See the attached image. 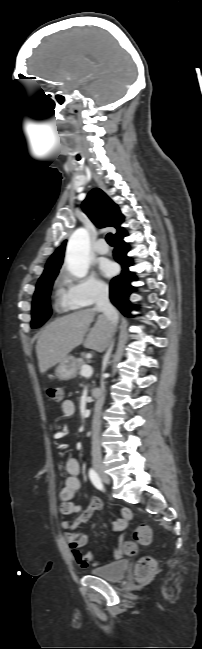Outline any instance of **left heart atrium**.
I'll return each instance as SVG.
<instances>
[{
    "label": "left heart atrium",
    "instance_id": "1",
    "mask_svg": "<svg viewBox=\"0 0 202 649\" xmlns=\"http://www.w3.org/2000/svg\"><path fill=\"white\" fill-rule=\"evenodd\" d=\"M101 271L106 276H111L115 272V268L112 263L105 261L101 265Z\"/></svg>",
    "mask_w": 202,
    "mask_h": 649
}]
</instances>
